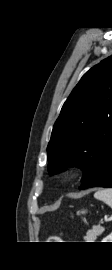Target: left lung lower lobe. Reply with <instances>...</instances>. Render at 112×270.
<instances>
[{"mask_svg":"<svg viewBox=\"0 0 112 270\" xmlns=\"http://www.w3.org/2000/svg\"><path fill=\"white\" fill-rule=\"evenodd\" d=\"M91 187H111L112 188V145L104 154L102 164L98 171L88 180L84 181L80 189Z\"/></svg>","mask_w":112,"mask_h":270,"instance_id":"1","label":"left lung lower lobe"}]
</instances>
